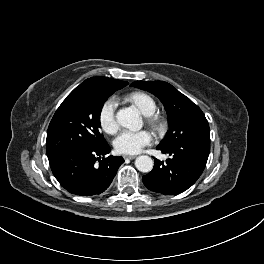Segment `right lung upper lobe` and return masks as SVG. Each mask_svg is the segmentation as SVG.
Wrapping results in <instances>:
<instances>
[{
    "mask_svg": "<svg viewBox=\"0 0 264 264\" xmlns=\"http://www.w3.org/2000/svg\"><path fill=\"white\" fill-rule=\"evenodd\" d=\"M127 84L128 82L107 77H92L86 79L82 84L79 85V87H99L117 91L125 87Z\"/></svg>",
    "mask_w": 264,
    "mask_h": 264,
    "instance_id": "1",
    "label": "right lung upper lobe"
}]
</instances>
